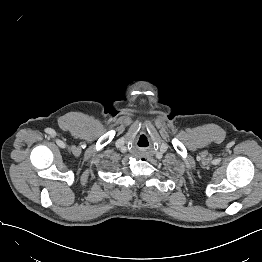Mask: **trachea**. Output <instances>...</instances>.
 <instances>
[{"instance_id": "trachea-1", "label": "trachea", "mask_w": 262, "mask_h": 262, "mask_svg": "<svg viewBox=\"0 0 262 262\" xmlns=\"http://www.w3.org/2000/svg\"><path fill=\"white\" fill-rule=\"evenodd\" d=\"M137 144H138V146H140V147H146V146L149 145V140H148V138H147L145 135H141V136L138 138Z\"/></svg>"}]
</instances>
